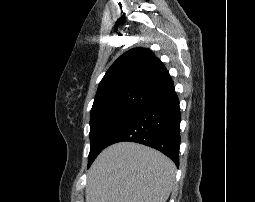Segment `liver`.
<instances>
[{"label": "liver", "instance_id": "obj_1", "mask_svg": "<svg viewBox=\"0 0 255 202\" xmlns=\"http://www.w3.org/2000/svg\"><path fill=\"white\" fill-rule=\"evenodd\" d=\"M176 166L161 152L133 142L104 149L87 178L86 202H166Z\"/></svg>", "mask_w": 255, "mask_h": 202}]
</instances>
